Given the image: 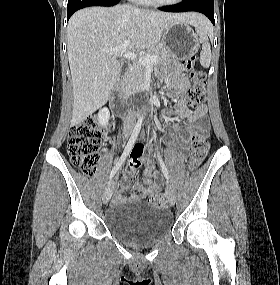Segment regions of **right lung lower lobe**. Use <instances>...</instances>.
<instances>
[{"instance_id":"obj_1","label":"right lung lower lobe","mask_w":280,"mask_h":285,"mask_svg":"<svg viewBox=\"0 0 280 285\" xmlns=\"http://www.w3.org/2000/svg\"><path fill=\"white\" fill-rule=\"evenodd\" d=\"M119 2L120 0H68L67 20H69L75 11L81 8L88 6H113Z\"/></svg>"}]
</instances>
